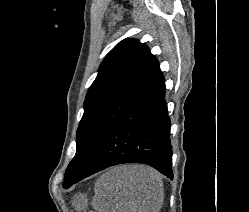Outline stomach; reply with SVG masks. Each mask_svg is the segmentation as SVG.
I'll return each mask as SVG.
<instances>
[{
    "mask_svg": "<svg viewBox=\"0 0 249 212\" xmlns=\"http://www.w3.org/2000/svg\"><path fill=\"white\" fill-rule=\"evenodd\" d=\"M72 204L75 206L76 210H85L88 206V198L86 194H76L74 198H72Z\"/></svg>",
    "mask_w": 249,
    "mask_h": 212,
    "instance_id": "stomach-1",
    "label": "stomach"
}]
</instances>
